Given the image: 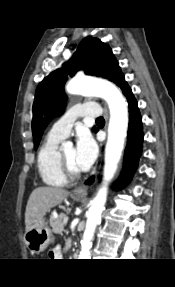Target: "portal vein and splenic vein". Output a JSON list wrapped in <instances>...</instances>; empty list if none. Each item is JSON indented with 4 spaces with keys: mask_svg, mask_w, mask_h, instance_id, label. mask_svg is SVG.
Returning a JSON list of instances; mask_svg holds the SVG:
<instances>
[{
    "mask_svg": "<svg viewBox=\"0 0 175 287\" xmlns=\"http://www.w3.org/2000/svg\"><path fill=\"white\" fill-rule=\"evenodd\" d=\"M68 220H69V218L67 216H65L64 219H63L64 225H66L68 223Z\"/></svg>",
    "mask_w": 175,
    "mask_h": 287,
    "instance_id": "18ae733b",
    "label": "portal vein and splenic vein"
}]
</instances>
